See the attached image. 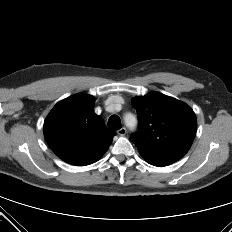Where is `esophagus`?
Masks as SVG:
<instances>
[{
  "instance_id": "34e87169",
  "label": "esophagus",
  "mask_w": 232,
  "mask_h": 232,
  "mask_svg": "<svg viewBox=\"0 0 232 232\" xmlns=\"http://www.w3.org/2000/svg\"><path fill=\"white\" fill-rule=\"evenodd\" d=\"M117 133H118V135H120V136H124V135H126V133H127V129H126L125 127H122L121 129H119V130L117 131Z\"/></svg>"
}]
</instances>
